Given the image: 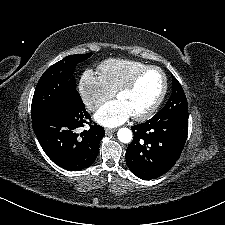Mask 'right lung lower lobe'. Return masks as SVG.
<instances>
[{
    "label": "right lung lower lobe",
    "instance_id": "right-lung-lower-lobe-1",
    "mask_svg": "<svg viewBox=\"0 0 225 225\" xmlns=\"http://www.w3.org/2000/svg\"><path fill=\"white\" fill-rule=\"evenodd\" d=\"M91 119L83 102L51 109L32 119L33 130L47 156L59 167L78 171L89 167L96 159L104 128L90 125L89 130H76Z\"/></svg>",
    "mask_w": 225,
    "mask_h": 225
}]
</instances>
